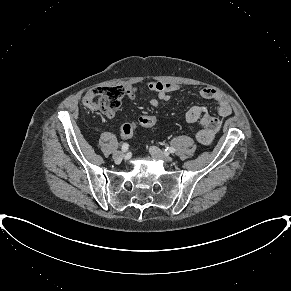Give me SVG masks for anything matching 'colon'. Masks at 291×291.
Masks as SVG:
<instances>
[{"label":"colon","mask_w":291,"mask_h":291,"mask_svg":"<svg viewBox=\"0 0 291 291\" xmlns=\"http://www.w3.org/2000/svg\"><path fill=\"white\" fill-rule=\"evenodd\" d=\"M124 93L125 90L121 86L96 87L85 94L83 105L90 111L114 110L120 105ZM157 123L154 115H142L135 122L125 123L121 128V135L123 138H129L138 126L151 128Z\"/></svg>","instance_id":"colon-1"}]
</instances>
